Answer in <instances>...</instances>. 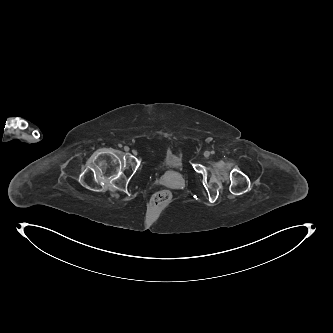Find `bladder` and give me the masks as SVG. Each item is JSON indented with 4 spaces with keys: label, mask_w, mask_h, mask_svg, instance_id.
<instances>
[{
    "label": "bladder",
    "mask_w": 333,
    "mask_h": 333,
    "mask_svg": "<svg viewBox=\"0 0 333 333\" xmlns=\"http://www.w3.org/2000/svg\"><path fill=\"white\" fill-rule=\"evenodd\" d=\"M160 167L163 171L167 170L181 171L183 169V161L180 155L172 151H168L163 156Z\"/></svg>",
    "instance_id": "obj_1"
}]
</instances>
